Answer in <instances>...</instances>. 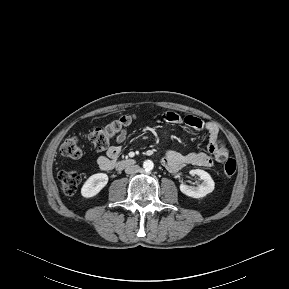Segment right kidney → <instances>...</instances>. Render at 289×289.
<instances>
[{"label": "right kidney", "instance_id": "ca27d5eb", "mask_svg": "<svg viewBox=\"0 0 289 289\" xmlns=\"http://www.w3.org/2000/svg\"><path fill=\"white\" fill-rule=\"evenodd\" d=\"M108 183V176L104 173H97L90 176L81 188V194L85 198L94 197Z\"/></svg>", "mask_w": 289, "mask_h": 289}]
</instances>
